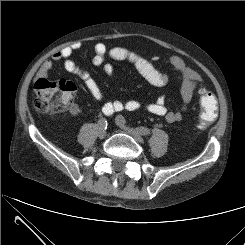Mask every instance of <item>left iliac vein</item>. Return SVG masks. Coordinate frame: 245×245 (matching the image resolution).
<instances>
[{"label": "left iliac vein", "instance_id": "4c4485c4", "mask_svg": "<svg viewBox=\"0 0 245 245\" xmlns=\"http://www.w3.org/2000/svg\"><path fill=\"white\" fill-rule=\"evenodd\" d=\"M121 115L117 116L115 119L116 124L122 129L124 130L126 133L130 134L132 137H134L137 141L139 142H143V137L142 135L134 128L130 127V126H126L122 123L121 119H120Z\"/></svg>", "mask_w": 245, "mask_h": 245}]
</instances>
